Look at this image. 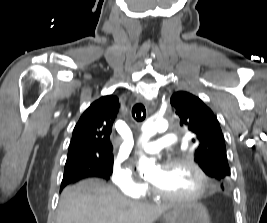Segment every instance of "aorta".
Here are the masks:
<instances>
[{
	"label": "aorta",
	"mask_w": 267,
	"mask_h": 223,
	"mask_svg": "<svg viewBox=\"0 0 267 223\" xmlns=\"http://www.w3.org/2000/svg\"><path fill=\"white\" fill-rule=\"evenodd\" d=\"M167 128L168 123L166 120H147L142 126V136L140 138V142L142 144H146L157 132L165 131ZM138 170L140 174L149 175L156 170V166L154 161L143 155L139 159Z\"/></svg>",
	"instance_id": "aorta-1"
}]
</instances>
